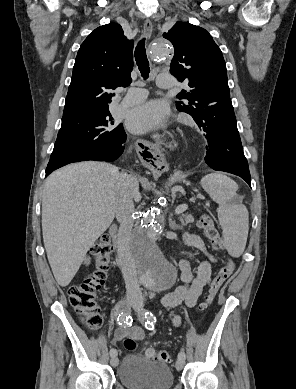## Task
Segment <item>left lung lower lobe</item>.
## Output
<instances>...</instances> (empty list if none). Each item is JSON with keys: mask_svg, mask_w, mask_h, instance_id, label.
I'll use <instances>...</instances> for the list:
<instances>
[{"mask_svg": "<svg viewBox=\"0 0 296 389\" xmlns=\"http://www.w3.org/2000/svg\"><path fill=\"white\" fill-rule=\"evenodd\" d=\"M199 128L204 131L206 139L205 162L214 170L240 176L251 187L248 162L243 153L231 99L209 108Z\"/></svg>", "mask_w": 296, "mask_h": 389, "instance_id": "left-lung-lower-lobe-1", "label": "left lung lower lobe"}]
</instances>
